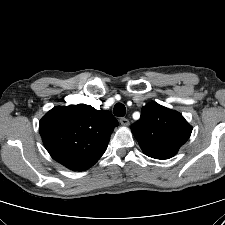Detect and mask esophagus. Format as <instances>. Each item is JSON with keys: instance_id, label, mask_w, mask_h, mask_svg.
<instances>
[{"instance_id": "1", "label": "esophagus", "mask_w": 225, "mask_h": 225, "mask_svg": "<svg viewBox=\"0 0 225 225\" xmlns=\"http://www.w3.org/2000/svg\"><path fill=\"white\" fill-rule=\"evenodd\" d=\"M120 123L123 126H129V124H130L129 120L125 117L120 118Z\"/></svg>"}]
</instances>
